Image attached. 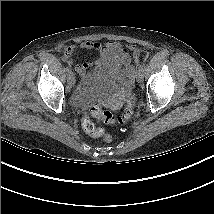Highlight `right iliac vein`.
I'll return each instance as SVG.
<instances>
[{"label":"right iliac vein","mask_w":214,"mask_h":214,"mask_svg":"<svg viewBox=\"0 0 214 214\" xmlns=\"http://www.w3.org/2000/svg\"><path fill=\"white\" fill-rule=\"evenodd\" d=\"M68 80H69V83L71 85L75 84V77H74V74L72 72L69 73Z\"/></svg>","instance_id":"63e3f726"}]
</instances>
